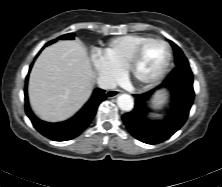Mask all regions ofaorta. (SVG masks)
Returning a JSON list of instances; mask_svg holds the SVG:
<instances>
[{
  "instance_id": "762f6f07",
  "label": "aorta",
  "mask_w": 222,
  "mask_h": 187,
  "mask_svg": "<svg viewBox=\"0 0 222 187\" xmlns=\"http://www.w3.org/2000/svg\"><path fill=\"white\" fill-rule=\"evenodd\" d=\"M117 104L121 110L131 111L134 106V100L128 94H121L117 98Z\"/></svg>"
}]
</instances>
